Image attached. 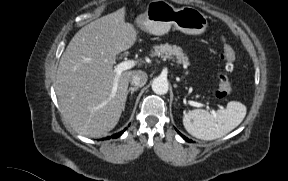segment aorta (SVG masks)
<instances>
[{
	"instance_id": "aorta-1",
	"label": "aorta",
	"mask_w": 288,
	"mask_h": 181,
	"mask_svg": "<svg viewBox=\"0 0 288 181\" xmlns=\"http://www.w3.org/2000/svg\"><path fill=\"white\" fill-rule=\"evenodd\" d=\"M168 89L169 85L166 78L160 76L154 78L152 82V90L154 91V93L158 95H163L168 92Z\"/></svg>"
}]
</instances>
